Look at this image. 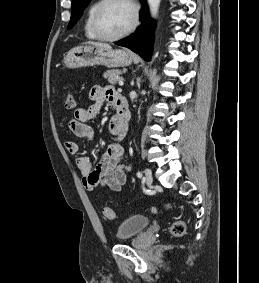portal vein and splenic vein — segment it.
<instances>
[{"mask_svg":"<svg viewBox=\"0 0 259 283\" xmlns=\"http://www.w3.org/2000/svg\"><path fill=\"white\" fill-rule=\"evenodd\" d=\"M118 83H119L120 86H122V85L124 84L123 79H122V78L119 79V82H118Z\"/></svg>","mask_w":259,"mask_h":283,"instance_id":"portal-vein-and-splenic-vein-1","label":"portal vein and splenic vein"}]
</instances>
